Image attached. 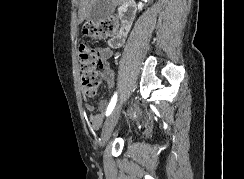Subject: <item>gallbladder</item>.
Instances as JSON below:
<instances>
[{
	"label": "gallbladder",
	"mask_w": 244,
	"mask_h": 179,
	"mask_svg": "<svg viewBox=\"0 0 244 179\" xmlns=\"http://www.w3.org/2000/svg\"><path fill=\"white\" fill-rule=\"evenodd\" d=\"M114 8L112 0H95L87 20L97 24L100 20H106L110 14H113Z\"/></svg>",
	"instance_id": "obj_1"
}]
</instances>
